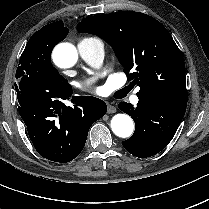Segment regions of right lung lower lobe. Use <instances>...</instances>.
Here are the masks:
<instances>
[{
    "label": "right lung lower lobe",
    "instance_id": "obj_1",
    "mask_svg": "<svg viewBox=\"0 0 209 209\" xmlns=\"http://www.w3.org/2000/svg\"><path fill=\"white\" fill-rule=\"evenodd\" d=\"M20 115L29 138L44 158L66 163L82 151L91 125L105 115L106 104L92 96H73L71 85L60 87L28 78L15 84Z\"/></svg>",
    "mask_w": 209,
    "mask_h": 209
}]
</instances>
